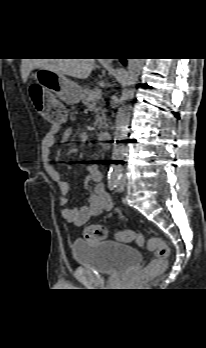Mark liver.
Returning a JSON list of instances; mask_svg holds the SVG:
<instances>
[{
	"instance_id": "liver-1",
	"label": "liver",
	"mask_w": 206,
	"mask_h": 348,
	"mask_svg": "<svg viewBox=\"0 0 206 348\" xmlns=\"http://www.w3.org/2000/svg\"><path fill=\"white\" fill-rule=\"evenodd\" d=\"M94 64L95 59H23L21 77L26 83L32 70L43 68L78 79H86L91 74Z\"/></svg>"
}]
</instances>
